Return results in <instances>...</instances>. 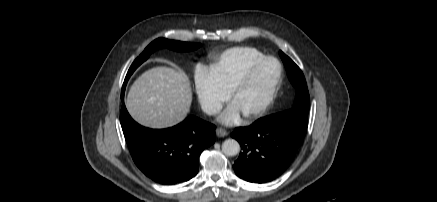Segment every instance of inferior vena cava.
<instances>
[{
    "label": "inferior vena cava",
    "instance_id": "602c4592",
    "mask_svg": "<svg viewBox=\"0 0 437 202\" xmlns=\"http://www.w3.org/2000/svg\"><path fill=\"white\" fill-rule=\"evenodd\" d=\"M221 108L222 107L220 105H214V104L202 105L203 111L209 115H214V114L218 113L221 110Z\"/></svg>",
    "mask_w": 437,
    "mask_h": 202
}]
</instances>
